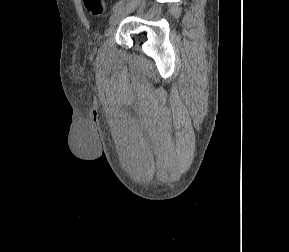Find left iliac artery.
<instances>
[{"mask_svg":"<svg viewBox=\"0 0 289 252\" xmlns=\"http://www.w3.org/2000/svg\"><path fill=\"white\" fill-rule=\"evenodd\" d=\"M126 2H127V0H120L119 2H117L112 8L113 12L116 11L117 9L121 8L122 6H124L126 4Z\"/></svg>","mask_w":289,"mask_h":252,"instance_id":"obj_1","label":"left iliac artery"}]
</instances>
